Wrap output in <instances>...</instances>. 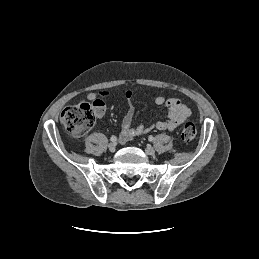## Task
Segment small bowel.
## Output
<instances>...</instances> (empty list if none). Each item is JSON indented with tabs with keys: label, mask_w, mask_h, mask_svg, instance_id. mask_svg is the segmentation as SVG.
<instances>
[{
	"label": "small bowel",
	"mask_w": 259,
	"mask_h": 259,
	"mask_svg": "<svg viewBox=\"0 0 259 259\" xmlns=\"http://www.w3.org/2000/svg\"><path fill=\"white\" fill-rule=\"evenodd\" d=\"M110 95L109 91L91 92L87 95V99L92 101L95 105V114L98 118H102L105 114L104 99ZM128 107L127 112L122 120V130L120 133V142L125 143L133 138L146 134L153 129L172 131L181 125L188 117L191 116V110L178 98H166L162 94L154 97L157 105L163 106L167 109V118L158 120L152 125L146 126L140 124L133 127L132 121L135 114V107L133 104V93L131 91L125 92Z\"/></svg>",
	"instance_id": "obj_1"
}]
</instances>
